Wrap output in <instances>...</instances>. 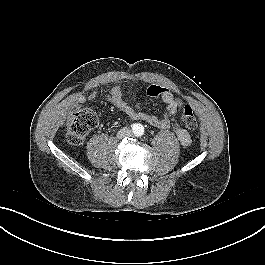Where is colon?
<instances>
[{"mask_svg": "<svg viewBox=\"0 0 265 265\" xmlns=\"http://www.w3.org/2000/svg\"><path fill=\"white\" fill-rule=\"evenodd\" d=\"M164 92L160 86H150L147 93L152 97H159ZM182 120L185 127L194 130L197 127V118L190 105H185L182 110ZM98 119L95 111L91 108H82L71 113L67 118V138L73 145H79L84 138L97 125Z\"/></svg>", "mask_w": 265, "mask_h": 265, "instance_id": "colon-1", "label": "colon"}]
</instances>
